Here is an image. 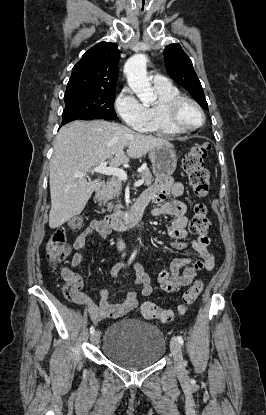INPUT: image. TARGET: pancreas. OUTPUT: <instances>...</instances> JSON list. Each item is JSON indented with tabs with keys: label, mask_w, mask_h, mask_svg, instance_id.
I'll use <instances>...</instances> for the list:
<instances>
[{
	"label": "pancreas",
	"mask_w": 266,
	"mask_h": 415,
	"mask_svg": "<svg viewBox=\"0 0 266 415\" xmlns=\"http://www.w3.org/2000/svg\"><path fill=\"white\" fill-rule=\"evenodd\" d=\"M139 177L144 180L146 186H150L153 183V176L148 168H145ZM122 192V180L116 176L112 177L107 182L106 186L96 196L99 201V206H107V211L121 212L123 208L121 201L118 199ZM115 202V205H114ZM104 212V210H102Z\"/></svg>",
	"instance_id": "obj_1"
}]
</instances>
